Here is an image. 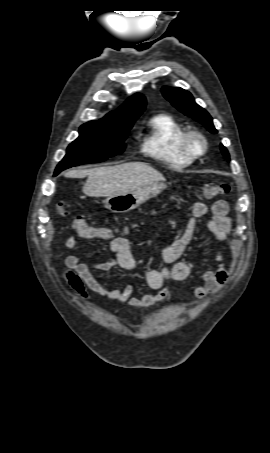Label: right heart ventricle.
I'll return each instance as SVG.
<instances>
[{
	"label": "right heart ventricle",
	"mask_w": 270,
	"mask_h": 453,
	"mask_svg": "<svg viewBox=\"0 0 270 453\" xmlns=\"http://www.w3.org/2000/svg\"><path fill=\"white\" fill-rule=\"evenodd\" d=\"M184 127L169 114H158L148 122L142 151L156 161L174 168H185L193 159L180 146Z\"/></svg>",
	"instance_id": "right-heart-ventricle-1"
}]
</instances>
